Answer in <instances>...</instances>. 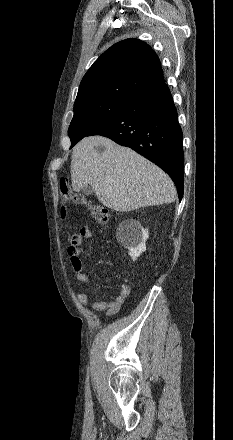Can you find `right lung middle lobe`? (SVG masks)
Listing matches in <instances>:
<instances>
[{
    "label": "right lung middle lobe",
    "mask_w": 233,
    "mask_h": 440,
    "mask_svg": "<svg viewBox=\"0 0 233 440\" xmlns=\"http://www.w3.org/2000/svg\"><path fill=\"white\" fill-rule=\"evenodd\" d=\"M128 101L117 99H88L74 104V116L68 130L72 148L78 141L103 126Z\"/></svg>",
    "instance_id": "right-lung-middle-lobe-1"
}]
</instances>
